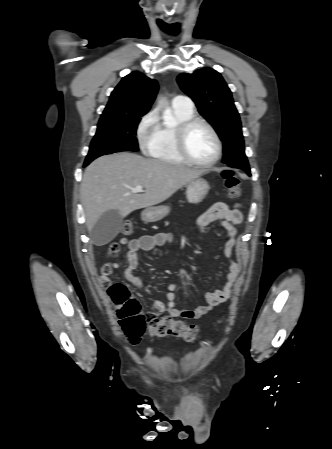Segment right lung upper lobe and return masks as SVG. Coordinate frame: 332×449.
I'll use <instances>...</instances> for the list:
<instances>
[{
    "instance_id": "1",
    "label": "right lung upper lobe",
    "mask_w": 332,
    "mask_h": 449,
    "mask_svg": "<svg viewBox=\"0 0 332 449\" xmlns=\"http://www.w3.org/2000/svg\"><path fill=\"white\" fill-rule=\"evenodd\" d=\"M158 91L156 80L139 72L125 76L110 95L101 117L146 114Z\"/></svg>"
}]
</instances>
